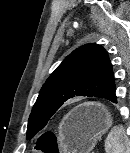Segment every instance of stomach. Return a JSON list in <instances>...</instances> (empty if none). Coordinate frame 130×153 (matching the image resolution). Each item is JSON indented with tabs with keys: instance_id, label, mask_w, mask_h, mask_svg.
<instances>
[{
	"instance_id": "0dacf381",
	"label": "stomach",
	"mask_w": 130,
	"mask_h": 153,
	"mask_svg": "<svg viewBox=\"0 0 130 153\" xmlns=\"http://www.w3.org/2000/svg\"><path fill=\"white\" fill-rule=\"evenodd\" d=\"M111 125V114L104 106L85 103L61 121L58 133L61 148L67 153H90Z\"/></svg>"
}]
</instances>
